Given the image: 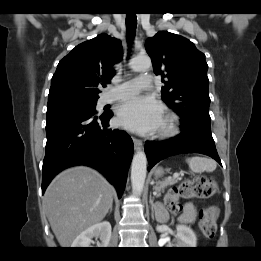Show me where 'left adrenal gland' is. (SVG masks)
Here are the masks:
<instances>
[{"mask_svg": "<svg viewBox=\"0 0 261 261\" xmlns=\"http://www.w3.org/2000/svg\"><path fill=\"white\" fill-rule=\"evenodd\" d=\"M149 202L151 204L152 218H154V207H155V205H154L153 198H152L151 194H150V201Z\"/></svg>", "mask_w": 261, "mask_h": 261, "instance_id": "1", "label": "left adrenal gland"}]
</instances>
